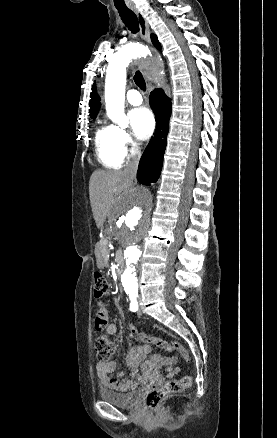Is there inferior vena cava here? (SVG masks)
I'll list each match as a JSON object with an SVG mask.
<instances>
[{"label": "inferior vena cava", "instance_id": "602c4592", "mask_svg": "<svg viewBox=\"0 0 277 438\" xmlns=\"http://www.w3.org/2000/svg\"><path fill=\"white\" fill-rule=\"evenodd\" d=\"M139 160V154H135V156H132L131 162H129L128 166H126L124 170L125 174H127L130 180V184H133V182L136 180Z\"/></svg>", "mask_w": 277, "mask_h": 438}]
</instances>
